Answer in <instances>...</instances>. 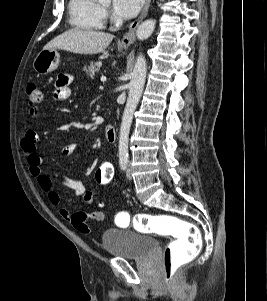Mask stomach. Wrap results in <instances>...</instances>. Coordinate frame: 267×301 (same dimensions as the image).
Segmentation results:
<instances>
[{
	"label": "stomach",
	"instance_id": "stomach-1",
	"mask_svg": "<svg viewBox=\"0 0 267 301\" xmlns=\"http://www.w3.org/2000/svg\"><path fill=\"white\" fill-rule=\"evenodd\" d=\"M124 48H126V46H124ZM59 57L60 55L55 48L43 49L35 58L33 68L37 73L47 75L57 69Z\"/></svg>",
	"mask_w": 267,
	"mask_h": 301
}]
</instances>
